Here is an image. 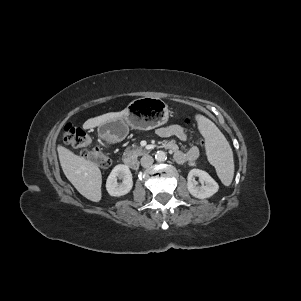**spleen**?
I'll return each mask as SVG.
<instances>
[{
    "label": "spleen",
    "mask_w": 301,
    "mask_h": 301,
    "mask_svg": "<svg viewBox=\"0 0 301 301\" xmlns=\"http://www.w3.org/2000/svg\"><path fill=\"white\" fill-rule=\"evenodd\" d=\"M198 127L206 138L207 156L209 162L215 167L220 180L229 186L234 175V160L232 149L217 126L203 115H196Z\"/></svg>",
    "instance_id": "3e777b00"
}]
</instances>
